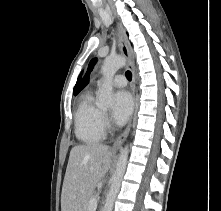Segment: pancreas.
<instances>
[{"mask_svg": "<svg viewBox=\"0 0 221 211\" xmlns=\"http://www.w3.org/2000/svg\"><path fill=\"white\" fill-rule=\"evenodd\" d=\"M93 197H94V194L92 193L86 198V200L84 202V211H89V203Z\"/></svg>", "mask_w": 221, "mask_h": 211, "instance_id": "obj_1", "label": "pancreas"}]
</instances>
